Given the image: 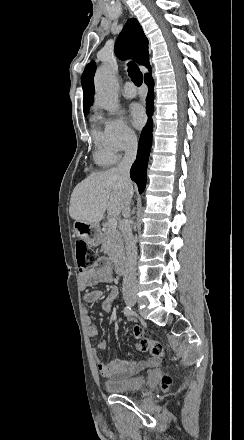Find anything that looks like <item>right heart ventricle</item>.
Returning a JSON list of instances; mask_svg holds the SVG:
<instances>
[{
  "mask_svg": "<svg viewBox=\"0 0 244 440\" xmlns=\"http://www.w3.org/2000/svg\"><path fill=\"white\" fill-rule=\"evenodd\" d=\"M97 121H98V117L93 116L91 118V123H92V136H93V140L94 142L97 144V151H96V161L99 164L102 165H110L115 163L118 160V157L116 156L115 153L109 151L105 145V137H104V133L101 132L98 128L97 125ZM101 146H105V150H101L100 147Z\"/></svg>",
  "mask_w": 244,
  "mask_h": 440,
  "instance_id": "right-heart-ventricle-1",
  "label": "right heart ventricle"
}]
</instances>
